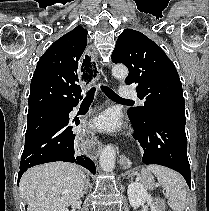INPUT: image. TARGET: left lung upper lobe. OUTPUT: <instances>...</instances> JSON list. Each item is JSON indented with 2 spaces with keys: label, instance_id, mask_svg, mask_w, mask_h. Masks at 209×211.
I'll return each mask as SVG.
<instances>
[{
  "label": "left lung upper lobe",
  "instance_id": "obj_1",
  "mask_svg": "<svg viewBox=\"0 0 209 211\" xmlns=\"http://www.w3.org/2000/svg\"><path fill=\"white\" fill-rule=\"evenodd\" d=\"M112 61L128 67L125 83L136 84L137 95L144 100V106L131 107L128 113L144 121L159 111H185L182 85L173 62L147 36L125 29L118 37Z\"/></svg>",
  "mask_w": 209,
  "mask_h": 211
}]
</instances>
